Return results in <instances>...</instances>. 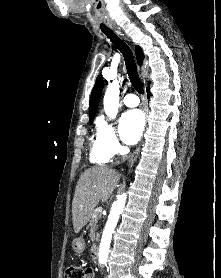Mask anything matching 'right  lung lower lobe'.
<instances>
[{
    "mask_svg": "<svg viewBox=\"0 0 221 278\" xmlns=\"http://www.w3.org/2000/svg\"><path fill=\"white\" fill-rule=\"evenodd\" d=\"M147 94H148V96H150V89H149V87L147 88Z\"/></svg>",
    "mask_w": 221,
    "mask_h": 278,
    "instance_id": "98d812e1",
    "label": "right lung lower lobe"
}]
</instances>
